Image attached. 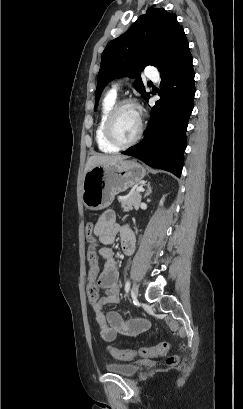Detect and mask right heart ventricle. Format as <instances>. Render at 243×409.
<instances>
[{
    "label": "right heart ventricle",
    "instance_id": "right-heart-ventricle-1",
    "mask_svg": "<svg viewBox=\"0 0 243 409\" xmlns=\"http://www.w3.org/2000/svg\"><path fill=\"white\" fill-rule=\"evenodd\" d=\"M116 102V94L109 92L103 99L100 111V117L95 130V140L98 149L103 153H114L119 150L118 147L112 145L105 137L104 124L112 107Z\"/></svg>",
    "mask_w": 243,
    "mask_h": 409
}]
</instances>
